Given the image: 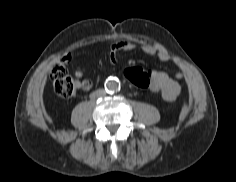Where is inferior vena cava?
<instances>
[{"label": "inferior vena cava", "instance_id": "obj_1", "mask_svg": "<svg viewBox=\"0 0 236 182\" xmlns=\"http://www.w3.org/2000/svg\"><path fill=\"white\" fill-rule=\"evenodd\" d=\"M98 92H99L100 94H104V93H105L103 89H99Z\"/></svg>", "mask_w": 236, "mask_h": 182}]
</instances>
